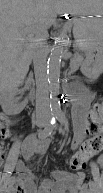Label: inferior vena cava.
Masks as SVG:
<instances>
[{"label": "inferior vena cava", "mask_w": 103, "mask_h": 193, "mask_svg": "<svg viewBox=\"0 0 103 193\" xmlns=\"http://www.w3.org/2000/svg\"><path fill=\"white\" fill-rule=\"evenodd\" d=\"M32 59L34 63L36 79V116L49 117V83L46 64V43L41 39H35L32 44Z\"/></svg>", "instance_id": "1"}]
</instances>
